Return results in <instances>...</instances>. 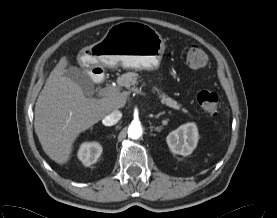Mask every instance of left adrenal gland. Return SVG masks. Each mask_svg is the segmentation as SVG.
I'll use <instances>...</instances> for the list:
<instances>
[{
  "mask_svg": "<svg viewBox=\"0 0 277 218\" xmlns=\"http://www.w3.org/2000/svg\"><path fill=\"white\" fill-rule=\"evenodd\" d=\"M163 114H165V112H160L159 114H157L156 116H155V118H159L161 115H163Z\"/></svg>",
  "mask_w": 277,
  "mask_h": 218,
  "instance_id": "a2214340",
  "label": "left adrenal gland"
}]
</instances>
